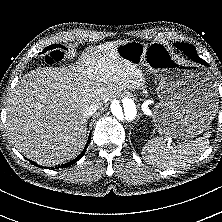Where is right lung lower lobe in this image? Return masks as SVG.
<instances>
[{"label": "right lung lower lobe", "mask_w": 222, "mask_h": 222, "mask_svg": "<svg viewBox=\"0 0 222 222\" xmlns=\"http://www.w3.org/2000/svg\"><path fill=\"white\" fill-rule=\"evenodd\" d=\"M90 138H91V135H89L88 142H87V144H86V146H85L83 152H82L77 158H75L74 160H72V161H70V162L64 164L63 167H67V166H70V165L76 163V162H77V161H78V160L84 155V153L86 152V149H87V147H88V144H89ZM31 163H33L34 165H37L36 163H34V162H32V161H31Z\"/></svg>", "instance_id": "obj_1"}]
</instances>
